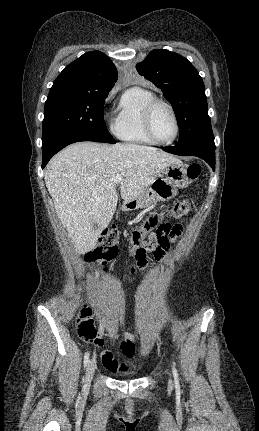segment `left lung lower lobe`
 Here are the masks:
<instances>
[{
	"label": "left lung lower lobe",
	"mask_w": 259,
	"mask_h": 431,
	"mask_svg": "<svg viewBox=\"0 0 259 431\" xmlns=\"http://www.w3.org/2000/svg\"><path fill=\"white\" fill-rule=\"evenodd\" d=\"M177 155H192L204 159L215 171V144L195 143L177 144L176 146L161 147Z\"/></svg>",
	"instance_id": "1"
}]
</instances>
